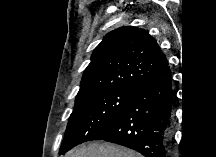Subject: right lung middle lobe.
<instances>
[{"label":"right lung middle lobe","mask_w":216,"mask_h":157,"mask_svg":"<svg viewBox=\"0 0 216 157\" xmlns=\"http://www.w3.org/2000/svg\"><path fill=\"white\" fill-rule=\"evenodd\" d=\"M132 88L119 87L76 99L59 154L91 141L116 120L126 107Z\"/></svg>","instance_id":"obj_1"}]
</instances>
